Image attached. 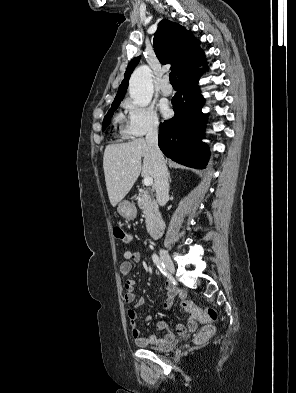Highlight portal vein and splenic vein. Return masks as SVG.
<instances>
[{"instance_id":"1","label":"portal vein and splenic vein","mask_w":296,"mask_h":393,"mask_svg":"<svg viewBox=\"0 0 296 393\" xmlns=\"http://www.w3.org/2000/svg\"><path fill=\"white\" fill-rule=\"evenodd\" d=\"M152 184H153V178L152 177L144 178V185L145 186H151Z\"/></svg>"}]
</instances>
